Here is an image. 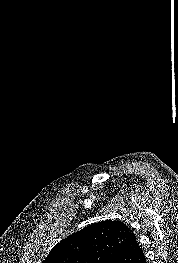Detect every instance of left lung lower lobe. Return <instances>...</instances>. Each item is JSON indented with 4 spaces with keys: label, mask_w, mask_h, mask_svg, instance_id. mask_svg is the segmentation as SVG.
Here are the masks:
<instances>
[{
    "label": "left lung lower lobe",
    "mask_w": 178,
    "mask_h": 263,
    "mask_svg": "<svg viewBox=\"0 0 178 263\" xmlns=\"http://www.w3.org/2000/svg\"><path fill=\"white\" fill-rule=\"evenodd\" d=\"M109 263H146L144 253L132 231L116 256Z\"/></svg>",
    "instance_id": "left-lung-lower-lobe-1"
}]
</instances>
